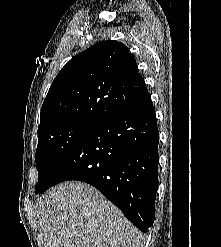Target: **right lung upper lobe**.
<instances>
[{
	"mask_svg": "<svg viewBox=\"0 0 221 247\" xmlns=\"http://www.w3.org/2000/svg\"><path fill=\"white\" fill-rule=\"evenodd\" d=\"M148 93L123 43H97L68 61L50 86L38 132L68 123L98 124Z\"/></svg>",
	"mask_w": 221,
	"mask_h": 247,
	"instance_id": "1",
	"label": "right lung upper lobe"
}]
</instances>
